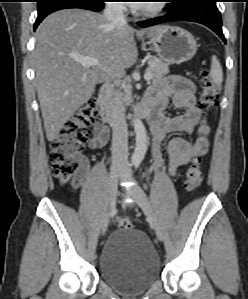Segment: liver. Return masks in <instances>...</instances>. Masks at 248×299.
Listing matches in <instances>:
<instances>
[{
  "mask_svg": "<svg viewBox=\"0 0 248 299\" xmlns=\"http://www.w3.org/2000/svg\"><path fill=\"white\" fill-rule=\"evenodd\" d=\"M162 26L140 33L151 38ZM93 57L111 72L124 73L137 60L134 30L113 24L99 13L64 9L46 17L36 32L33 63L36 90L47 140L54 141L64 124L92 96L107 71L84 67L74 57Z\"/></svg>",
  "mask_w": 248,
  "mask_h": 299,
  "instance_id": "1",
  "label": "liver"
}]
</instances>
